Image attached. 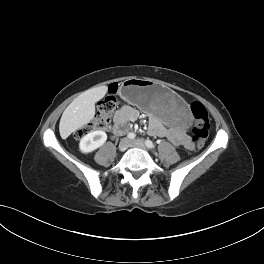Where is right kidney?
<instances>
[{"instance_id": "right-kidney-1", "label": "right kidney", "mask_w": 264, "mask_h": 264, "mask_svg": "<svg viewBox=\"0 0 264 264\" xmlns=\"http://www.w3.org/2000/svg\"><path fill=\"white\" fill-rule=\"evenodd\" d=\"M106 140L107 134L104 131H93L81 138L79 149L82 153H90L101 147Z\"/></svg>"}]
</instances>
